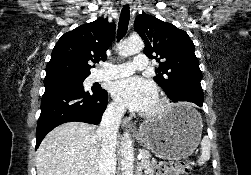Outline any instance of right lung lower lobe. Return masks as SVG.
I'll return each instance as SVG.
<instances>
[{"mask_svg":"<svg viewBox=\"0 0 251 175\" xmlns=\"http://www.w3.org/2000/svg\"><path fill=\"white\" fill-rule=\"evenodd\" d=\"M107 99V91L99 86L86 91L84 87L71 83L46 84L37 124L35 149L46 134L60 124L72 121L99 124Z\"/></svg>","mask_w":251,"mask_h":175,"instance_id":"obj_1","label":"right lung lower lobe"}]
</instances>
